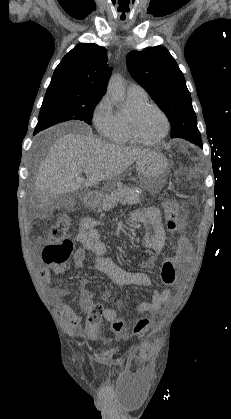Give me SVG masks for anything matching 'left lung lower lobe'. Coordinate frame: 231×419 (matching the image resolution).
<instances>
[{
	"label": "left lung lower lobe",
	"instance_id": "0a47b994",
	"mask_svg": "<svg viewBox=\"0 0 231 419\" xmlns=\"http://www.w3.org/2000/svg\"><path fill=\"white\" fill-rule=\"evenodd\" d=\"M190 142L198 145L199 147H202V142L201 139H196V140H189Z\"/></svg>",
	"mask_w": 231,
	"mask_h": 419
}]
</instances>
